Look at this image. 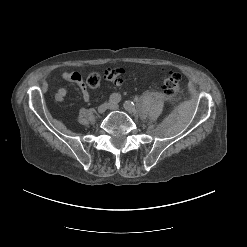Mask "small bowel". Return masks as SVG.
I'll return each mask as SVG.
<instances>
[{"label": "small bowel", "mask_w": 247, "mask_h": 247, "mask_svg": "<svg viewBox=\"0 0 247 247\" xmlns=\"http://www.w3.org/2000/svg\"><path fill=\"white\" fill-rule=\"evenodd\" d=\"M116 71H117L118 77L116 80H112L111 82H113L116 85H120L121 84L120 76L124 73V69L117 68ZM61 76H62L63 80H65L67 82L74 83L80 88L82 98L85 101H88L90 99V94L86 88V84L84 83L83 77L81 76L80 73H78V72H63ZM67 92H68V89L66 86L59 87L55 93L56 101H59V102L63 101V99L67 95Z\"/></svg>", "instance_id": "c3829d8e"}]
</instances>
